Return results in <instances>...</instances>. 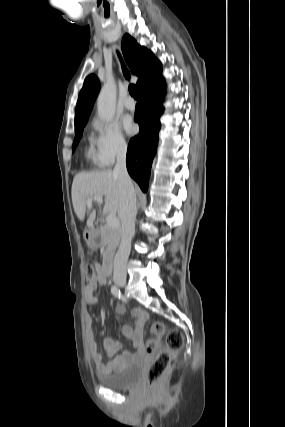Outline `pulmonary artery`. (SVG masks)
<instances>
[{"label": "pulmonary artery", "mask_w": 285, "mask_h": 427, "mask_svg": "<svg viewBox=\"0 0 285 427\" xmlns=\"http://www.w3.org/2000/svg\"><path fill=\"white\" fill-rule=\"evenodd\" d=\"M124 106L128 110H134L136 107V103L131 97H128L124 100Z\"/></svg>", "instance_id": "e3ab8cb5"}]
</instances>
